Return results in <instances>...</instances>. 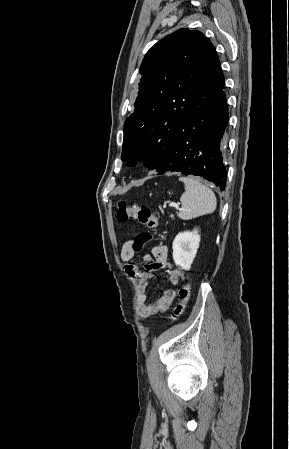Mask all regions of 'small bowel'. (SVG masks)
Segmentation results:
<instances>
[{
	"instance_id": "small-bowel-1",
	"label": "small bowel",
	"mask_w": 289,
	"mask_h": 449,
	"mask_svg": "<svg viewBox=\"0 0 289 449\" xmlns=\"http://www.w3.org/2000/svg\"><path fill=\"white\" fill-rule=\"evenodd\" d=\"M134 240L125 242L121 249V259L125 263V270L137 284L138 297L137 306L141 318H148L159 312H164L170 308L177 297L175 289H166L162 296L155 301L148 300L149 281L154 278L153 273L156 270L166 269L169 273V281L172 285L180 284L183 273L179 269L172 267L168 261V248L159 244L151 248V256L145 257L147 262L146 270L142 271L138 262L135 260V250L133 248ZM143 247H147L145 244ZM153 259L151 263L150 260Z\"/></svg>"
}]
</instances>
